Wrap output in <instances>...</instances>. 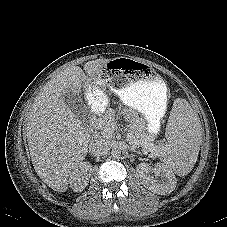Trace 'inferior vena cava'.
Wrapping results in <instances>:
<instances>
[{
    "mask_svg": "<svg viewBox=\"0 0 227 227\" xmlns=\"http://www.w3.org/2000/svg\"><path fill=\"white\" fill-rule=\"evenodd\" d=\"M89 151L94 156L106 155L109 151V143L103 139H97L89 146Z\"/></svg>",
    "mask_w": 227,
    "mask_h": 227,
    "instance_id": "obj_1",
    "label": "inferior vena cava"
}]
</instances>
